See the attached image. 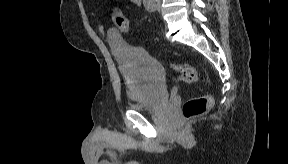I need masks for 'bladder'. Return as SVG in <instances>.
Instances as JSON below:
<instances>
[{
	"label": "bladder",
	"mask_w": 288,
	"mask_h": 164,
	"mask_svg": "<svg viewBox=\"0 0 288 164\" xmlns=\"http://www.w3.org/2000/svg\"><path fill=\"white\" fill-rule=\"evenodd\" d=\"M109 44L126 82L130 108L153 113L170 101V91L161 64L147 52L112 34Z\"/></svg>",
	"instance_id": "obj_1"
}]
</instances>
